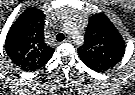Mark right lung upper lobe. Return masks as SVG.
Listing matches in <instances>:
<instances>
[{
  "instance_id": "obj_1",
  "label": "right lung upper lobe",
  "mask_w": 135,
  "mask_h": 95,
  "mask_svg": "<svg viewBox=\"0 0 135 95\" xmlns=\"http://www.w3.org/2000/svg\"><path fill=\"white\" fill-rule=\"evenodd\" d=\"M5 50L12 62L25 71L43 67L54 53V48L44 41V14L34 8L25 10L9 30Z\"/></svg>"
}]
</instances>
